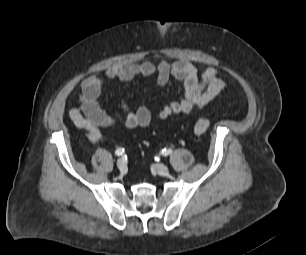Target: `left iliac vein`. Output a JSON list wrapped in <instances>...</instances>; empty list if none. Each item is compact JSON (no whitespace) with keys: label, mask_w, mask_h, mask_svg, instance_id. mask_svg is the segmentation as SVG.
I'll return each instance as SVG.
<instances>
[{"label":"left iliac vein","mask_w":306,"mask_h":255,"mask_svg":"<svg viewBox=\"0 0 306 255\" xmlns=\"http://www.w3.org/2000/svg\"><path fill=\"white\" fill-rule=\"evenodd\" d=\"M159 175L167 176L169 174V168L164 164H155L152 167Z\"/></svg>","instance_id":"4c4485c4"}]
</instances>
